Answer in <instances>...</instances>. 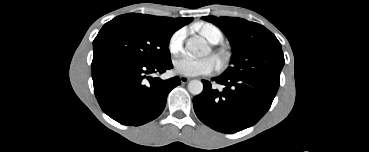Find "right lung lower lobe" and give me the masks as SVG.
Wrapping results in <instances>:
<instances>
[{"label":"right lung lower lobe","mask_w":369,"mask_h":152,"mask_svg":"<svg viewBox=\"0 0 369 152\" xmlns=\"http://www.w3.org/2000/svg\"><path fill=\"white\" fill-rule=\"evenodd\" d=\"M173 67L171 59L142 64L113 61L92 69L94 92L102 110L121 124L139 126L157 118L168 93L181 83L179 77H150Z\"/></svg>","instance_id":"right-lung-lower-lobe-1"}]
</instances>
